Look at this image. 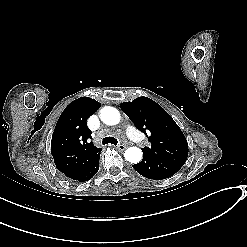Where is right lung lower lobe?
<instances>
[{
	"label": "right lung lower lobe",
	"instance_id": "1",
	"mask_svg": "<svg viewBox=\"0 0 247 247\" xmlns=\"http://www.w3.org/2000/svg\"><path fill=\"white\" fill-rule=\"evenodd\" d=\"M99 157L100 153L97 156H95L86 167H84L78 173L70 176L69 178L80 182L90 180L99 169Z\"/></svg>",
	"mask_w": 247,
	"mask_h": 247
}]
</instances>
